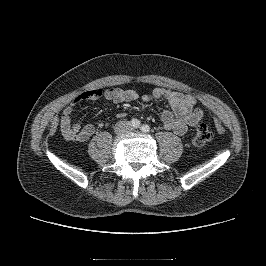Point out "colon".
I'll use <instances>...</instances> for the list:
<instances>
[{"instance_id":"1","label":"colon","mask_w":266,"mask_h":266,"mask_svg":"<svg viewBox=\"0 0 266 266\" xmlns=\"http://www.w3.org/2000/svg\"><path fill=\"white\" fill-rule=\"evenodd\" d=\"M212 137L213 134L208 124L201 122L197 124L193 132L192 143L195 146L201 147L211 141Z\"/></svg>"}]
</instances>
